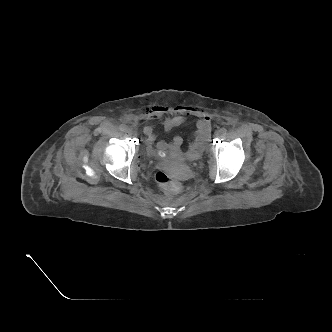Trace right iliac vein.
Returning a JSON list of instances; mask_svg holds the SVG:
<instances>
[{
  "label": "right iliac vein",
  "instance_id": "1",
  "mask_svg": "<svg viewBox=\"0 0 332 332\" xmlns=\"http://www.w3.org/2000/svg\"><path fill=\"white\" fill-rule=\"evenodd\" d=\"M126 132L129 133V134H132L133 131H132V129L129 128V129L126 130Z\"/></svg>",
  "mask_w": 332,
  "mask_h": 332
}]
</instances>
